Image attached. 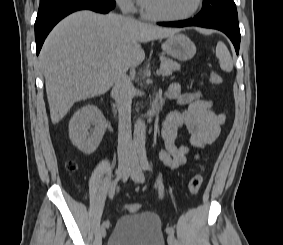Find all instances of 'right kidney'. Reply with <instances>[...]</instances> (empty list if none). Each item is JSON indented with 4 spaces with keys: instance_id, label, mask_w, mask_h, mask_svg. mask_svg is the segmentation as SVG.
<instances>
[{
    "instance_id": "obj_1",
    "label": "right kidney",
    "mask_w": 283,
    "mask_h": 245,
    "mask_svg": "<svg viewBox=\"0 0 283 245\" xmlns=\"http://www.w3.org/2000/svg\"><path fill=\"white\" fill-rule=\"evenodd\" d=\"M91 125L94 128L91 129ZM106 119L94 105L79 109L69 122V138L73 145L85 154L93 153L106 131Z\"/></svg>"
}]
</instances>
